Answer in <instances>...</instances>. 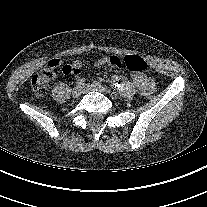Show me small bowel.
I'll return each mask as SVG.
<instances>
[{
    "instance_id": "1",
    "label": "small bowel",
    "mask_w": 207,
    "mask_h": 207,
    "mask_svg": "<svg viewBox=\"0 0 207 207\" xmlns=\"http://www.w3.org/2000/svg\"><path fill=\"white\" fill-rule=\"evenodd\" d=\"M57 60H52L51 63H55ZM95 66L100 65H110L113 67H121V60L117 56H109L104 57L100 60H98L95 64ZM73 70L72 71H63V73L67 74L70 72L80 73L83 68V63L80 60H76L73 62ZM116 81L120 84L124 85H133L135 86L138 91L143 95H149L154 90V82L150 77L147 75H134L132 78V82H127L124 79L116 77Z\"/></svg>"
}]
</instances>
